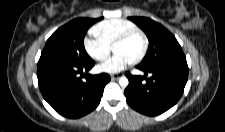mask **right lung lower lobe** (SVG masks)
Returning a JSON list of instances; mask_svg holds the SVG:
<instances>
[{"instance_id": "right-lung-lower-lobe-1", "label": "right lung lower lobe", "mask_w": 225, "mask_h": 132, "mask_svg": "<svg viewBox=\"0 0 225 132\" xmlns=\"http://www.w3.org/2000/svg\"><path fill=\"white\" fill-rule=\"evenodd\" d=\"M95 62L77 64L56 59H40L37 67L39 88L44 99L59 114L82 117L100 103L108 74L89 75ZM83 78H85L83 80Z\"/></svg>"}]
</instances>
